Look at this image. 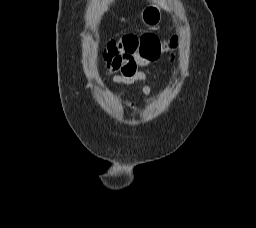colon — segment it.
Instances as JSON below:
<instances>
[{"mask_svg": "<svg viewBox=\"0 0 256 228\" xmlns=\"http://www.w3.org/2000/svg\"><path fill=\"white\" fill-rule=\"evenodd\" d=\"M170 47L177 45V38L168 42ZM163 45L154 34L125 35L119 40L110 41L104 51L106 65L114 64L118 58L125 54L139 53L145 57L156 59L160 56Z\"/></svg>", "mask_w": 256, "mask_h": 228, "instance_id": "obj_1", "label": "colon"}]
</instances>
